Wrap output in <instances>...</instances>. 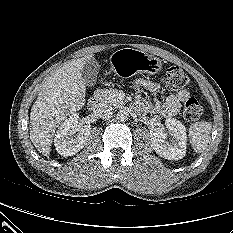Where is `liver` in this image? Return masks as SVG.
<instances>
[{
    "mask_svg": "<svg viewBox=\"0 0 233 233\" xmlns=\"http://www.w3.org/2000/svg\"><path fill=\"white\" fill-rule=\"evenodd\" d=\"M88 54L57 69L44 83L30 112V138L36 149L49 156L54 133L68 115L85 104L86 84L82 69Z\"/></svg>",
    "mask_w": 233,
    "mask_h": 233,
    "instance_id": "liver-1",
    "label": "liver"
}]
</instances>
